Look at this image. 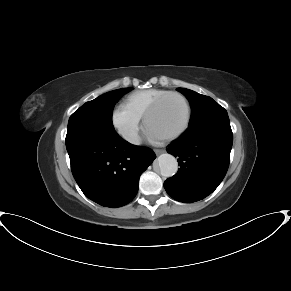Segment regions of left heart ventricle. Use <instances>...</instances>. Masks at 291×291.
Masks as SVG:
<instances>
[{
  "label": "left heart ventricle",
  "instance_id": "1",
  "mask_svg": "<svg viewBox=\"0 0 291 291\" xmlns=\"http://www.w3.org/2000/svg\"><path fill=\"white\" fill-rule=\"evenodd\" d=\"M185 119L184 102L179 97L171 96L151 116L148 129L163 138L176 132L184 124Z\"/></svg>",
  "mask_w": 291,
  "mask_h": 291
}]
</instances>
